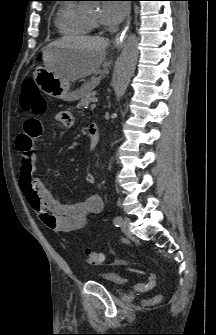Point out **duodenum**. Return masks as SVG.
Listing matches in <instances>:
<instances>
[{"mask_svg":"<svg viewBox=\"0 0 216 335\" xmlns=\"http://www.w3.org/2000/svg\"><path fill=\"white\" fill-rule=\"evenodd\" d=\"M88 133H89V137L90 140L93 142H97L99 139V130H98V126L96 123H91L88 127Z\"/></svg>","mask_w":216,"mask_h":335,"instance_id":"obj_1","label":"duodenum"}]
</instances>
